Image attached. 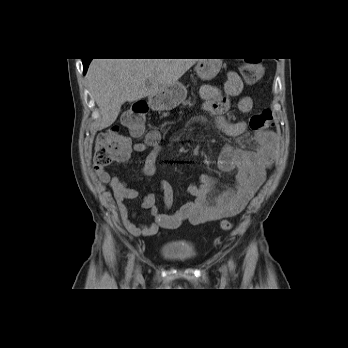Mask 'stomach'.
<instances>
[{"instance_id":"0dacf381","label":"stomach","mask_w":348,"mask_h":348,"mask_svg":"<svg viewBox=\"0 0 348 348\" xmlns=\"http://www.w3.org/2000/svg\"><path fill=\"white\" fill-rule=\"evenodd\" d=\"M221 65V59H199L195 66V71L200 79L211 80L219 73ZM186 96V87L182 83L177 82L151 96L150 104L153 109L158 111L171 110L182 103Z\"/></svg>"}]
</instances>
